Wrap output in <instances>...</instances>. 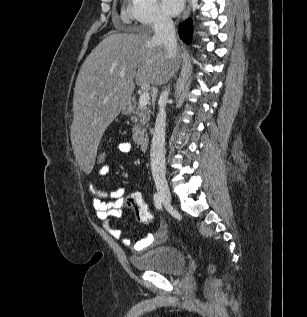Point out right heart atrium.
Masks as SVG:
<instances>
[{
  "mask_svg": "<svg viewBox=\"0 0 307 317\" xmlns=\"http://www.w3.org/2000/svg\"><path fill=\"white\" fill-rule=\"evenodd\" d=\"M127 16L143 26L152 28L167 26L170 22L157 0H129Z\"/></svg>",
  "mask_w": 307,
  "mask_h": 317,
  "instance_id": "d8ad5b80",
  "label": "right heart atrium"
}]
</instances>
